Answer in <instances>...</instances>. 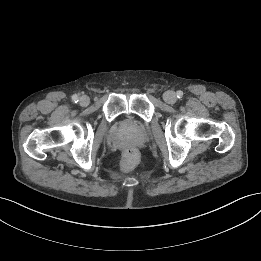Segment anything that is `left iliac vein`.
Here are the masks:
<instances>
[{"instance_id":"1","label":"left iliac vein","mask_w":261,"mask_h":261,"mask_svg":"<svg viewBox=\"0 0 261 261\" xmlns=\"http://www.w3.org/2000/svg\"><path fill=\"white\" fill-rule=\"evenodd\" d=\"M163 98L168 104H174L177 100L176 94L173 91L165 92Z\"/></svg>"}]
</instances>
